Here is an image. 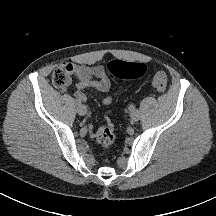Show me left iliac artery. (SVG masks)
I'll use <instances>...</instances> for the list:
<instances>
[{
  "mask_svg": "<svg viewBox=\"0 0 216 216\" xmlns=\"http://www.w3.org/2000/svg\"><path fill=\"white\" fill-rule=\"evenodd\" d=\"M129 110H130V111L135 110V105L131 104V105L129 106Z\"/></svg>",
  "mask_w": 216,
  "mask_h": 216,
  "instance_id": "obj_1",
  "label": "left iliac artery"
}]
</instances>
